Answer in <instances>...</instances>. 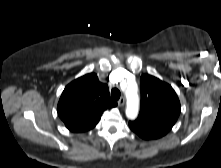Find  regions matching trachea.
<instances>
[{
    "label": "trachea",
    "instance_id": "3493384b",
    "mask_svg": "<svg viewBox=\"0 0 221 168\" xmlns=\"http://www.w3.org/2000/svg\"><path fill=\"white\" fill-rule=\"evenodd\" d=\"M120 91L117 88L111 90V96L113 99L118 100L120 98Z\"/></svg>",
    "mask_w": 221,
    "mask_h": 168
}]
</instances>
